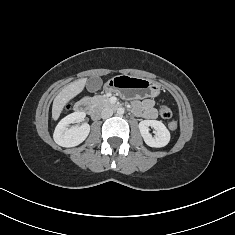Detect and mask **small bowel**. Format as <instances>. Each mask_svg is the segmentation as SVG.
I'll list each match as a JSON object with an SVG mask.
<instances>
[{"instance_id":"c3829d8e","label":"small bowel","mask_w":235,"mask_h":235,"mask_svg":"<svg viewBox=\"0 0 235 235\" xmlns=\"http://www.w3.org/2000/svg\"><path fill=\"white\" fill-rule=\"evenodd\" d=\"M133 110L135 114L148 120H152L157 117V112L154 108V101L152 99L134 101Z\"/></svg>"}]
</instances>
